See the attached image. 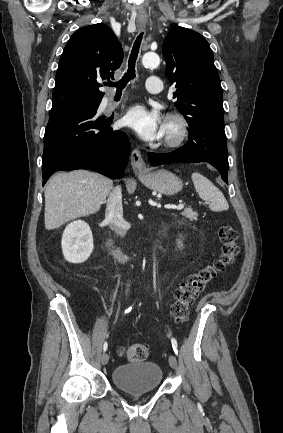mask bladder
Instances as JSON below:
<instances>
[{
	"label": "bladder",
	"instance_id": "bladder-1",
	"mask_svg": "<svg viewBox=\"0 0 283 433\" xmlns=\"http://www.w3.org/2000/svg\"><path fill=\"white\" fill-rule=\"evenodd\" d=\"M113 384L122 392L152 391L160 386L162 370L155 362H135L115 368Z\"/></svg>",
	"mask_w": 283,
	"mask_h": 433
}]
</instances>
